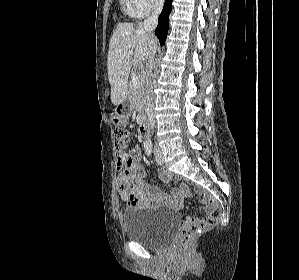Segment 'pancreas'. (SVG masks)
I'll use <instances>...</instances> for the list:
<instances>
[{"mask_svg": "<svg viewBox=\"0 0 299 280\" xmlns=\"http://www.w3.org/2000/svg\"><path fill=\"white\" fill-rule=\"evenodd\" d=\"M128 101L132 109H136L138 112L142 113L144 109V99L142 86L138 88H131L128 94Z\"/></svg>", "mask_w": 299, "mask_h": 280, "instance_id": "obj_1", "label": "pancreas"}]
</instances>
